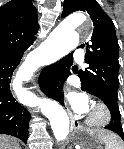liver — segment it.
Listing matches in <instances>:
<instances>
[{"instance_id":"1","label":"liver","mask_w":124,"mask_h":149,"mask_svg":"<svg viewBox=\"0 0 124 149\" xmlns=\"http://www.w3.org/2000/svg\"><path fill=\"white\" fill-rule=\"evenodd\" d=\"M0 149H20V146L14 138L0 135Z\"/></svg>"}]
</instances>
